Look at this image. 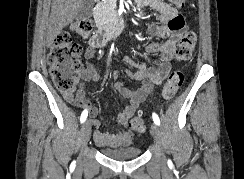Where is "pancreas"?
<instances>
[{"instance_id":"cf45deb5","label":"pancreas","mask_w":244,"mask_h":179,"mask_svg":"<svg viewBox=\"0 0 244 179\" xmlns=\"http://www.w3.org/2000/svg\"><path fill=\"white\" fill-rule=\"evenodd\" d=\"M114 4L115 0H105V2L98 4V6H100L99 12L102 14V18H105V20H109V18H111V12Z\"/></svg>"}]
</instances>
